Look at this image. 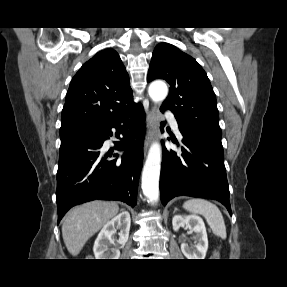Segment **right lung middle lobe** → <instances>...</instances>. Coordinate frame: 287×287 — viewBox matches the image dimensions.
<instances>
[{
    "mask_svg": "<svg viewBox=\"0 0 287 287\" xmlns=\"http://www.w3.org/2000/svg\"><path fill=\"white\" fill-rule=\"evenodd\" d=\"M92 129H93L92 125L82 123L62 126L60 128V138L63 139L73 135L90 133L93 131Z\"/></svg>",
    "mask_w": 287,
    "mask_h": 287,
    "instance_id": "right-lung-middle-lobe-1",
    "label": "right lung middle lobe"
}]
</instances>
